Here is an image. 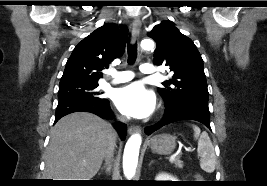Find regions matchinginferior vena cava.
I'll list each match as a JSON object with an SVG mask.
<instances>
[{"label":"inferior vena cava","mask_w":267,"mask_h":186,"mask_svg":"<svg viewBox=\"0 0 267 186\" xmlns=\"http://www.w3.org/2000/svg\"><path fill=\"white\" fill-rule=\"evenodd\" d=\"M120 121L122 122H126L127 119L125 117H119L118 118ZM114 147H115V138L113 137L109 143H108V147L106 149V152H105V157H106V160L107 159H110L111 157H113V153H114Z\"/></svg>","instance_id":"obj_1"}]
</instances>
